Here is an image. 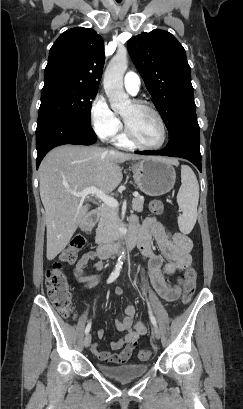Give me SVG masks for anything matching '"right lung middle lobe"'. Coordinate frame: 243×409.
Instances as JSON below:
<instances>
[{
	"instance_id": "obj_1",
	"label": "right lung middle lobe",
	"mask_w": 243,
	"mask_h": 409,
	"mask_svg": "<svg viewBox=\"0 0 243 409\" xmlns=\"http://www.w3.org/2000/svg\"><path fill=\"white\" fill-rule=\"evenodd\" d=\"M97 89L63 81L47 80L41 92L37 126L48 120H65L90 126L92 100Z\"/></svg>"
}]
</instances>
